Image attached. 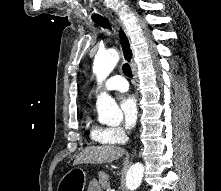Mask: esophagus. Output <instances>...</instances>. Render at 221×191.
Here are the masks:
<instances>
[{
    "label": "esophagus",
    "mask_w": 221,
    "mask_h": 191,
    "mask_svg": "<svg viewBox=\"0 0 221 191\" xmlns=\"http://www.w3.org/2000/svg\"><path fill=\"white\" fill-rule=\"evenodd\" d=\"M109 20L114 25V27L116 29L117 36H118V39H119V42L121 45V49H122L125 59L133 63L134 52L131 47L130 38H129V35L126 31L124 24L122 23V21L120 19L113 17V16L109 17ZM132 71H133L134 76H136L135 68H133ZM133 153H135V152H133Z\"/></svg>",
    "instance_id": "1"
}]
</instances>
